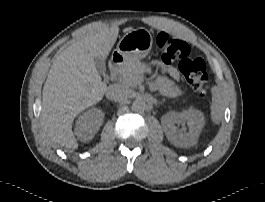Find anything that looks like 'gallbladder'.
Masks as SVG:
<instances>
[{"label":"gallbladder","mask_w":265,"mask_h":202,"mask_svg":"<svg viewBox=\"0 0 265 202\" xmlns=\"http://www.w3.org/2000/svg\"><path fill=\"white\" fill-rule=\"evenodd\" d=\"M95 66L99 74L104 75L106 73V63L101 57H95Z\"/></svg>","instance_id":"bac80fb5"}]
</instances>
